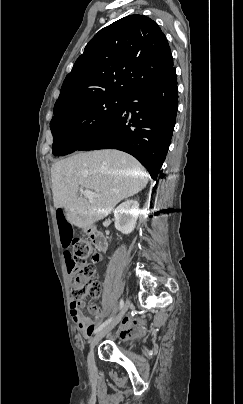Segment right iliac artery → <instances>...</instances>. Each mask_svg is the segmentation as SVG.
<instances>
[{"label": "right iliac artery", "instance_id": "right-iliac-artery-1", "mask_svg": "<svg viewBox=\"0 0 243 404\" xmlns=\"http://www.w3.org/2000/svg\"><path fill=\"white\" fill-rule=\"evenodd\" d=\"M124 306V301L123 299L120 300V304H119V309H122ZM113 320V317L109 318L108 320H106L103 324H101L95 331L94 333H98L99 331H101L105 326H107L111 321Z\"/></svg>", "mask_w": 243, "mask_h": 404}]
</instances>
